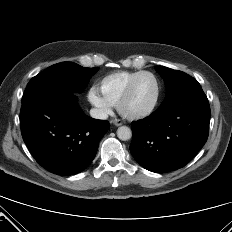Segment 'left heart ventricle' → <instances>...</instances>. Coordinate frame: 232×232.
Here are the masks:
<instances>
[{
  "instance_id": "b2bd125f",
  "label": "left heart ventricle",
  "mask_w": 232,
  "mask_h": 232,
  "mask_svg": "<svg viewBox=\"0 0 232 232\" xmlns=\"http://www.w3.org/2000/svg\"><path fill=\"white\" fill-rule=\"evenodd\" d=\"M156 91V82L151 76L140 77L130 99L124 105V110L128 113H138L147 109L154 101Z\"/></svg>"
}]
</instances>
